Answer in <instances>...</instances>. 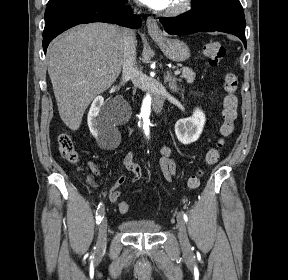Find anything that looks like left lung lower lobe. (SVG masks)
<instances>
[{"instance_id":"1","label":"left lung lower lobe","mask_w":288,"mask_h":280,"mask_svg":"<svg viewBox=\"0 0 288 280\" xmlns=\"http://www.w3.org/2000/svg\"><path fill=\"white\" fill-rule=\"evenodd\" d=\"M159 20L165 31L172 35L220 31L239 37L246 47L245 24L223 14L192 8L177 18L161 17Z\"/></svg>"}]
</instances>
